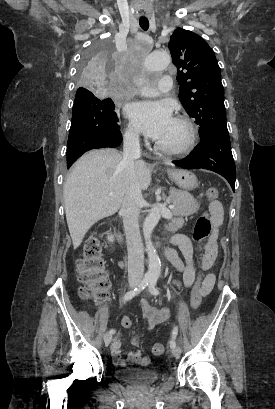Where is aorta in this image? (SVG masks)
<instances>
[{
    "label": "aorta",
    "mask_w": 275,
    "mask_h": 409,
    "mask_svg": "<svg viewBox=\"0 0 275 409\" xmlns=\"http://www.w3.org/2000/svg\"><path fill=\"white\" fill-rule=\"evenodd\" d=\"M146 58L149 65L153 66L154 70H162L170 62V56H167L166 51H147ZM161 217V211L159 207H153L151 213L146 217L143 225V235L146 243V251L148 253V271L145 275L146 281H157L161 273L160 259L152 245L151 235L153 229H155L159 219Z\"/></svg>",
    "instance_id": "obj_1"
}]
</instances>
